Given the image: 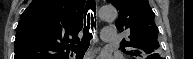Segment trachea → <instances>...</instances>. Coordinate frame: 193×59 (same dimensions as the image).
I'll use <instances>...</instances> for the list:
<instances>
[{"instance_id":"1","label":"trachea","mask_w":193,"mask_h":59,"mask_svg":"<svg viewBox=\"0 0 193 59\" xmlns=\"http://www.w3.org/2000/svg\"><path fill=\"white\" fill-rule=\"evenodd\" d=\"M94 27H96V6L94 2L90 1L87 2L85 7V23L82 40L76 45L69 46V49L75 52L77 55L85 54V52L89 48L90 40L93 38Z\"/></svg>"}]
</instances>
